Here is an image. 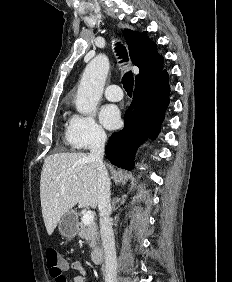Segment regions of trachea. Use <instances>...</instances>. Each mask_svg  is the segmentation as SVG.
Returning a JSON list of instances; mask_svg holds the SVG:
<instances>
[{
  "label": "trachea",
  "mask_w": 232,
  "mask_h": 282,
  "mask_svg": "<svg viewBox=\"0 0 232 282\" xmlns=\"http://www.w3.org/2000/svg\"><path fill=\"white\" fill-rule=\"evenodd\" d=\"M115 51L117 52L119 59L123 58L120 63L128 61V55L125 47L119 43H116ZM122 84L126 92L129 93L133 91L134 78L132 72L128 71L124 74L122 77Z\"/></svg>",
  "instance_id": "trachea-1"
}]
</instances>
